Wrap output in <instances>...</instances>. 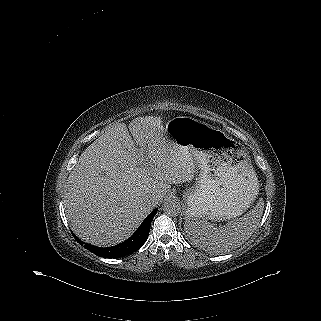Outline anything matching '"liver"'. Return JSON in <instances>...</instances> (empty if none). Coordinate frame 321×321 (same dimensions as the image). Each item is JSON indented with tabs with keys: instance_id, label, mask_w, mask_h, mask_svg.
Masks as SVG:
<instances>
[{
	"instance_id": "1",
	"label": "liver",
	"mask_w": 321,
	"mask_h": 321,
	"mask_svg": "<svg viewBox=\"0 0 321 321\" xmlns=\"http://www.w3.org/2000/svg\"><path fill=\"white\" fill-rule=\"evenodd\" d=\"M128 128L117 123L90 144L67 179L64 207L70 227L96 246L126 240L171 184L195 175L192 156L168 140L160 118L137 117ZM150 197L153 204L147 202Z\"/></svg>"
}]
</instances>
